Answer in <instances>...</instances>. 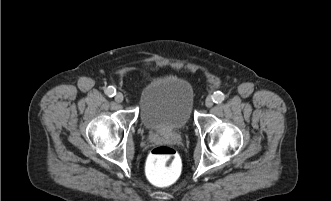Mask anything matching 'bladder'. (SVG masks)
I'll return each mask as SVG.
<instances>
[{
	"mask_svg": "<svg viewBox=\"0 0 331 201\" xmlns=\"http://www.w3.org/2000/svg\"><path fill=\"white\" fill-rule=\"evenodd\" d=\"M194 94L191 85L176 76L149 82L139 94L142 125L153 131L181 130L191 120Z\"/></svg>",
	"mask_w": 331,
	"mask_h": 201,
	"instance_id": "obj_1",
	"label": "bladder"
}]
</instances>
